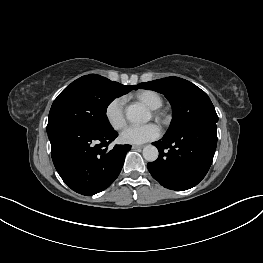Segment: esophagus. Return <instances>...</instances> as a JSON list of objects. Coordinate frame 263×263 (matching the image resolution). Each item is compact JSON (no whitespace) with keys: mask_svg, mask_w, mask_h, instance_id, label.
Returning <instances> with one entry per match:
<instances>
[{"mask_svg":"<svg viewBox=\"0 0 263 263\" xmlns=\"http://www.w3.org/2000/svg\"><path fill=\"white\" fill-rule=\"evenodd\" d=\"M142 145H132V149H142Z\"/></svg>","mask_w":263,"mask_h":263,"instance_id":"34e87169","label":"esophagus"}]
</instances>
